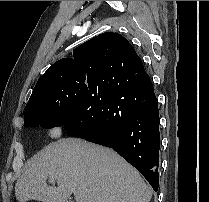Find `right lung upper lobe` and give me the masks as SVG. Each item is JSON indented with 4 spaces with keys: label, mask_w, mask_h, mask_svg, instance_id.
<instances>
[{
    "label": "right lung upper lobe",
    "mask_w": 209,
    "mask_h": 202,
    "mask_svg": "<svg viewBox=\"0 0 209 202\" xmlns=\"http://www.w3.org/2000/svg\"><path fill=\"white\" fill-rule=\"evenodd\" d=\"M139 58L133 46L120 34L102 33L73 50V58H62L55 62L38 80L24 109L27 112L36 94L52 77L71 74H88L101 77L105 72L118 69L125 71L130 61ZM29 120L24 118V126Z\"/></svg>",
    "instance_id": "cb5924a9"
}]
</instances>
